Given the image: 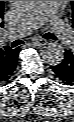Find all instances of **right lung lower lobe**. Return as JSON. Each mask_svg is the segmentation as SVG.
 <instances>
[{
    "mask_svg": "<svg viewBox=\"0 0 74 122\" xmlns=\"http://www.w3.org/2000/svg\"><path fill=\"white\" fill-rule=\"evenodd\" d=\"M19 52L20 49L18 48L13 49L11 51V54L8 55L9 59L6 60L4 58L3 60L0 61V82L7 81L13 74V71L15 70L17 65V58Z\"/></svg>",
    "mask_w": 74,
    "mask_h": 122,
    "instance_id": "1",
    "label": "right lung lower lobe"
}]
</instances>
